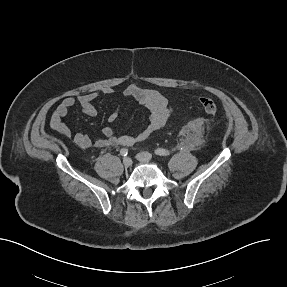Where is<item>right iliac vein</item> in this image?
I'll list each match as a JSON object with an SVG mask.
<instances>
[{
	"label": "right iliac vein",
	"mask_w": 287,
	"mask_h": 287,
	"mask_svg": "<svg viewBox=\"0 0 287 287\" xmlns=\"http://www.w3.org/2000/svg\"><path fill=\"white\" fill-rule=\"evenodd\" d=\"M123 165H124L126 168L130 167V166L132 165V159L129 158V157H125V158L123 159Z\"/></svg>",
	"instance_id": "1"
}]
</instances>
